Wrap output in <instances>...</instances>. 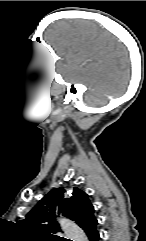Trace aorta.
Returning <instances> with one entry per match:
<instances>
[{
    "label": "aorta",
    "mask_w": 146,
    "mask_h": 241,
    "mask_svg": "<svg viewBox=\"0 0 146 241\" xmlns=\"http://www.w3.org/2000/svg\"><path fill=\"white\" fill-rule=\"evenodd\" d=\"M66 236L73 241H88L84 232L69 219L63 218L59 220Z\"/></svg>",
    "instance_id": "obj_1"
}]
</instances>
